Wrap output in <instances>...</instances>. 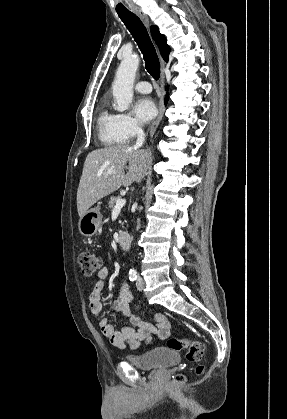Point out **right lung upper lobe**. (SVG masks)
Listing matches in <instances>:
<instances>
[{
  "label": "right lung upper lobe",
  "mask_w": 287,
  "mask_h": 419,
  "mask_svg": "<svg viewBox=\"0 0 287 419\" xmlns=\"http://www.w3.org/2000/svg\"><path fill=\"white\" fill-rule=\"evenodd\" d=\"M151 34L159 46L161 55L165 61L169 60L170 47L166 43V38L162 35L157 26H151Z\"/></svg>",
  "instance_id": "cb5924a9"
}]
</instances>
